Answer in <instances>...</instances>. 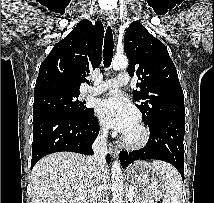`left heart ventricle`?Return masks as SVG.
Instances as JSON below:
<instances>
[{
  "mask_svg": "<svg viewBox=\"0 0 214 203\" xmlns=\"http://www.w3.org/2000/svg\"><path fill=\"white\" fill-rule=\"evenodd\" d=\"M135 132H136V129L133 128L130 132H128V133H126V134H128V135H130V136H133V135H135Z\"/></svg>",
  "mask_w": 214,
  "mask_h": 203,
  "instance_id": "left-heart-ventricle-1",
  "label": "left heart ventricle"
}]
</instances>
